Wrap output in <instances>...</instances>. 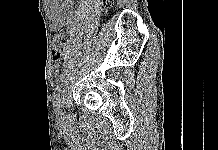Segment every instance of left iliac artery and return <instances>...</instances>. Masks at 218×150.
<instances>
[{
    "instance_id": "obj_1",
    "label": "left iliac artery",
    "mask_w": 218,
    "mask_h": 150,
    "mask_svg": "<svg viewBox=\"0 0 218 150\" xmlns=\"http://www.w3.org/2000/svg\"><path fill=\"white\" fill-rule=\"evenodd\" d=\"M60 92H61V86L57 85L53 92V106L55 108H59L60 106Z\"/></svg>"
}]
</instances>
